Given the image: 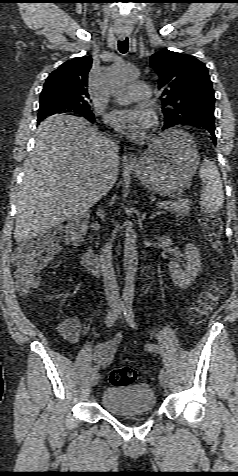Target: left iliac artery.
Masks as SVG:
<instances>
[{"label": "left iliac artery", "instance_id": "left-iliac-artery-1", "mask_svg": "<svg viewBox=\"0 0 238 476\" xmlns=\"http://www.w3.org/2000/svg\"><path fill=\"white\" fill-rule=\"evenodd\" d=\"M124 315H125V318H126V321L128 322V324L132 328H135L136 327V322H135V316H134V312H133L131 304H128L124 307ZM147 348L150 351L157 352V353H161V351H162V349L159 346H157L155 344H152V343H148Z\"/></svg>", "mask_w": 238, "mask_h": 476}]
</instances>
